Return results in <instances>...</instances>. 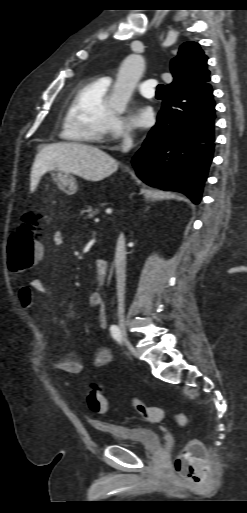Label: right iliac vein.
I'll use <instances>...</instances> for the list:
<instances>
[{"label":"right iliac vein","mask_w":247,"mask_h":513,"mask_svg":"<svg viewBox=\"0 0 247 513\" xmlns=\"http://www.w3.org/2000/svg\"><path fill=\"white\" fill-rule=\"evenodd\" d=\"M120 330H121V333H122V336H123V339H124V342H125L126 346L130 350V352L135 355L136 352H135V349H134V347H133V345H132V343H131V341H130V339L128 337V334H127V331H126V323L125 322H121L120 323Z\"/></svg>","instance_id":"right-iliac-vein-1"}]
</instances>
